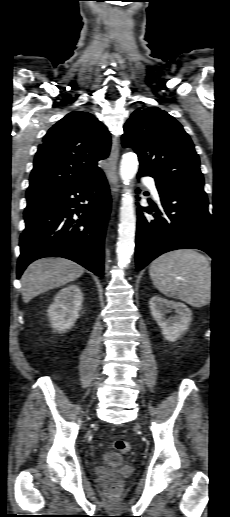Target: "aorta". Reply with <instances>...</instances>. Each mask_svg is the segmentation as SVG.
Returning <instances> with one entry per match:
<instances>
[{
	"mask_svg": "<svg viewBox=\"0 0 230 517\" xmlns=\"http://www.w3.org/2000/svg\"><path fill=\"white\" fill-rule=\"evenodd\" d=\"M138 169V159L134 153L123 155L120 164V177L126 186L125 193L121 200L120 224L118 228V241L116 247L118 265L124 268L130 262L134 252V240L136 231V216L134 210V200L131 190L127 187L135 177Z\"/></svg>",
	"mask_w": 230,
	"mask_h": 517,
	"instance_id": "obj_1",
	"label": "aorta"
}]
</instances>
